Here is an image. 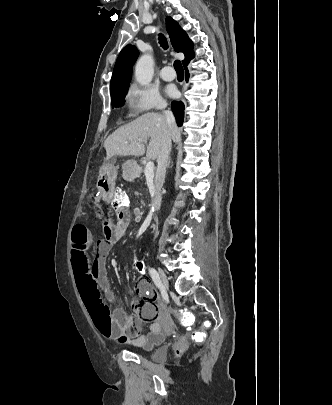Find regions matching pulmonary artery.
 <instances>
[{"label":"pulmonary artery","instance_id":"e3ab8cb5","mask_svg":"<svg viewBox=\"0 0 332 405\" xmlns=\"http://www.w3.org/2000/svg\"><path fill=\"white\" fill-rule=\"evenodd\" d=\"M160 75L165 81H172L176 77V73L170 66H164L160 71Z\"/></svg>","mask_w":332,"mask_h":405}]
</instances>
